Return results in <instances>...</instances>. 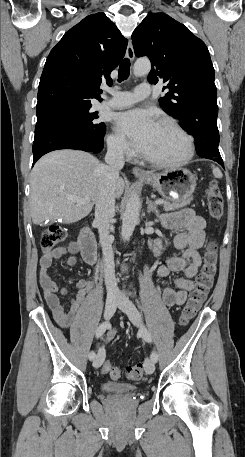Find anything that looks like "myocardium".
Segmentation results:
<instances>
[{"instance_id": "obj_1", "label": "myocardium", "mask_w": 245, "mask_h": 457, "mask_svg": "<svg viewBox=\"0 0 245 457\" xmlns=\"http://www.w3.org/2000/svg\"><path fill=\"white\" fill-rule=\"evenodd\" d=\"M160 127L166 128L177 133L185 142L183 154L177 158H154L143 154L142 157L145 161L159 167H176L187 163L193 155V140L181 127L170 120H163Z\"/></svg>"}]
</instances>
